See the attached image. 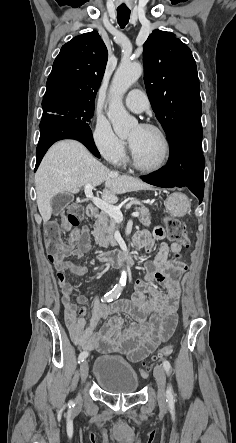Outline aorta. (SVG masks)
Returning a JSON list of instances; mask_svg holds the SVG:
<instances>
[{
	"instance_id": "aorta-1",
	"label": "aorta",
	"mask_w": 236,
	"mask_h": 443,
	"mask_svg": "<svg viewBox=\"0 0 236 443\" xmlns=\"http://www.w3.org/2000/svg\"><path fill=\"white\" fill-rule=\"evenodd\" d=\"M142 66L138 63L123 62L117 68L110 87L111 102L107 116L112 123L114 132L120 138L129 136L131 130L138 125L136 118L132 117L124 108L122 98L127 90L142 74ZM127 272H121L120 283H125Z\"/></svg>"
}]
</instances>
